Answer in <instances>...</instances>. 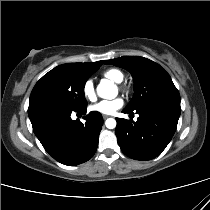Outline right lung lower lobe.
Segmentation results:
<instances>
[{
    "instance_id": "1",
    "label": "right lung lower lobe",
    "mask_w": 210,
    "mask_h": 210,
    "mask_svg": "<svg viewBox=\"0 0 210 210\" xmlns=\"http://www.w3.org/2000/svg\"><path fill=\"white\" fill-rule=\"evenodd\" d=\"M86 108L79 110L52 108L32 115L33 131L44 149L58 162L75 166L91 159L98 146L103 118L99 112L86 115V123L72 120V111L85 114Z\"/></svg>"
}]
</instances>
